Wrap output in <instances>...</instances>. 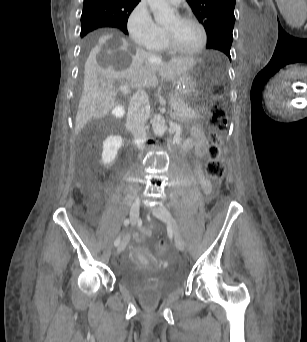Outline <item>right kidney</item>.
<instances>
[{
  "label": "right kidney",
  "mask_w": 307,
  "mask_h": 342,
  "mask_svg": "<svg viewBox=\"0 0 307 342\" xmlns=\"http://www.w3.org/2000/svg\"><path fill=\"white\" fill-rule=\"evenodd\" d=\"M123 140L121 136H109L103 142L102 162L105 166H112Z\"/></svg>",
  "instance_id": "obj_1"
}]
</instances>
